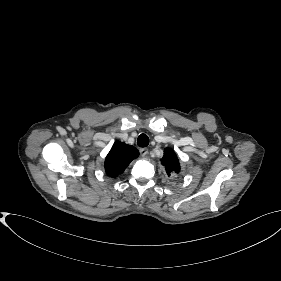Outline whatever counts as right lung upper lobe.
Masks as SVG:
<instances>
[{
  "mask_svg": "<svg viewBox=\"0 0 281 281\" xmlns=\"http://www.w3.org/2000/svg\"><path fill=\"white\" fill-rule=\"evenodd\" d=\"M138 156L139 152L135 147L116 141L105 159L107 175L111 177L118 176Z\"/></svg>",
  "mask_w": 281,
  "mask_h": 281,
  "instance_id": "1",
  "label": "right lung upper lobe"
}]
</instances>
